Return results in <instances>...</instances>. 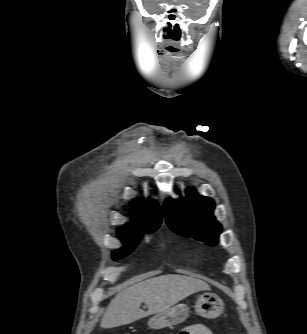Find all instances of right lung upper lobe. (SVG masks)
<instances>
[{
  "instance_id": "obj_1",
  "label": "right lung upper lobe",
  "mask_w": 307,
  "mask_h": 334,
  "mask_svg": "<svg viewBox=\"0 0 307 334\" xmlns=\"http://www.w3.org/2000/svg\"><path fill=\"white\" fill-rule=\"evenodd\" d=\"M133 214L136 221L119 227V237H126L133 232H147L161 224V213L158 205L151 199H136L133 203ZM133 235L131 237H135Z\"/></svg>"
}]
</instances>
